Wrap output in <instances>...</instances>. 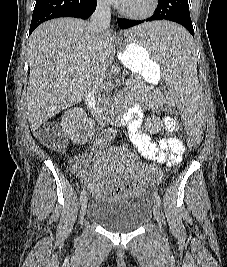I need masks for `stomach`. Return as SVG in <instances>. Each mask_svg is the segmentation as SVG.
<instances>
[{
  "label": "stomach",
  "mask_w": 227,
  "mask_h": 267,
  "mask_svg": "<svg viewBox=\"0 0 227 267\" xmlns=\"http://www.w3.org/2000/svg\"><path fill=\"white\" fill-rule=\"evenodd\" d=\"M120 59L129 70L142 77L146 82L158 81L161 63H158V59L150 58L146 47L137 46L136 43H125Z\"/></svg>",
  "instance_id": "stomach-1"
}]
</instances>
